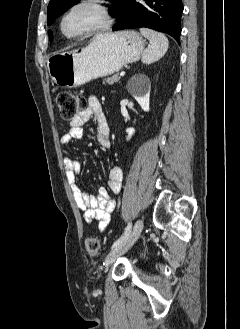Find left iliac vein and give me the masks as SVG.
<instances>
[{"label":"left iliac vein","mask_w":240,"mask_h":329,"mask_svg":"<svg viewBox=\"0 0 240 329\" xmlns=\"http://www.w3.org/2000/svg\"><path fill=\"white\" fill-rule=\"evenodd\" d=\"M143 222L142 220H137L132 232L129 234V236L122 242L120 243L115 249H112L107 257H106V266L111 265L116 261V259L124 254L138 239L140 236L142 230H143Z\"/></svg>","instance_id":"1"}]
</instances>
